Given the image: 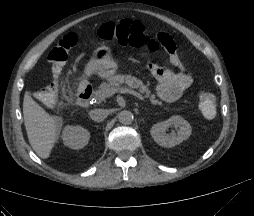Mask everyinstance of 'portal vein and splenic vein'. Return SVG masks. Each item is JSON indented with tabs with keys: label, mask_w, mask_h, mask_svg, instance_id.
Listing matches in <instances>:
<instances>
[{
	"label": "portal vein and splenic vein",
	"mask_w": 254,
	"mask_h": 216,
	"mask_svg": "<svg viewBox=\"0 0 254 216\" xmlns=\"http://www.w3.org/2000/svg\"><path fill=\"white\" fill-rule=\"evenodd\" d=\"M116 93H129V94L139 98L140 100L144 101V97L141 94H139L138 92H136L134 90H130L128 88H113V89L107 90V96H112Z\"/></svg>",
	"instance_id": "obj_1"
}]
</instances>
